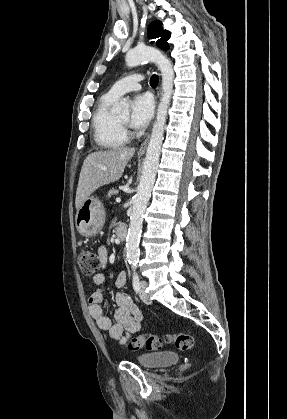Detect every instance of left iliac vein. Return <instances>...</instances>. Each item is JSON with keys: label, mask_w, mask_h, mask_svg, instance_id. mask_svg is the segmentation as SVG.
Wrapping results in <instances>:
<instances>
[{"label": "left iliac vein", "mask_w": 287, "mask_h": 419, "mask_svg": "<svg viewBox=\"0 0 287 419\" xmlns=\"http://www.w3.org/2000/svg\"><path fill=\"white\" fill-rule=\"evenodd\" d=\"M147 287V282L146 281H141L140 283V292H139V296L140 299L146 303V304H151V300L148 296V294L146 293L145 289Z\"/></svg>", "instance_id": "1"}]
</instances>
